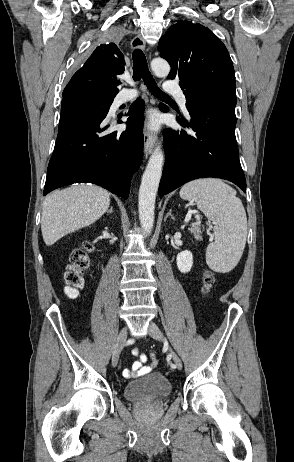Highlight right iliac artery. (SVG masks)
<instances>
[{
  "label": "right iliac artery",
  "mask_w": 294,
  "mask_h": 462,
  "mask_svg": "<svg viewBox=\"0 0 294 462\" xmlns=\"http://www.w3.org/2000/svg\"><path fill=\"white\" fill-rule=\"evenodd\" d=\"M130 343H133V341H132V340H130Z\"/></svg>",
  "instance_id": "1"
}]
</instances>
